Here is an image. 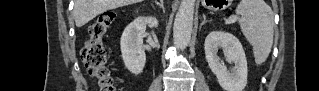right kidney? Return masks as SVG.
Returning <instances> with one entry per match:
<instances>
[{
  "mask_svg": "<svg viewBox=\"0 0 319 91\" xmlns=\"http://www.w3.org/2000/svg\"><path fill=\"white\" fill-rule=\"evenodd\" d=\"M147 25L157 28L158 20L154 17L136 18L124 29L120 41L124 64L135 75L143 71L146 63V54L142 45Z\"/></svg>",
  "mask_w": 319,
  "mask_h": 91,
  "instance_id": "obj_1",
  "label": "right kidney"
}]
</instances>
